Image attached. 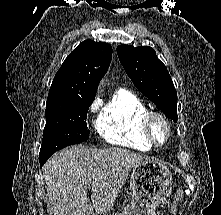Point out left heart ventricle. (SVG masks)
Here are the masks:
<instances>
[{
  "instance_id": "1",
  "label": "left heart ventricle",
  "mask_w": 221,
  "mask_h": 215,
  "mask_svg": "<svg viewBox=\"0 0 221 215\" xmlns=\"http://www.w3.org/2000/svg\"><path fill=\"white\" fill-rule=\"evenodd\" d=\"M154 134L156 138L162 141L165 137V128L161 123H156L154 125Z\"/></svg>"
}]
</instances>
